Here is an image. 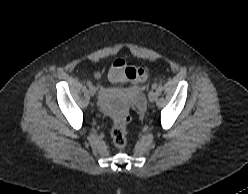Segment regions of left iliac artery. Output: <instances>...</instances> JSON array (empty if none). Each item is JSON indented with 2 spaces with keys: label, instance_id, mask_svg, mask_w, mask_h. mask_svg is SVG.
I'll return each instance as SVG.
<instances>
[{
  "label": "left iliac artery",
  "instance_id": "44dca946",
  "mask_svg": "<svg viewBox=\"0 0 248 194\" xmlns=\"http://www.w3.org/2000/svg\"><path fill=\"white\" fill-rule=\"evenodd\" d=\"M157 88V85L156 84H153L152 85V89H156Z\"/></svg>",
  "mask_w": 248,
  "mask_h": 194
}]
</instances>
